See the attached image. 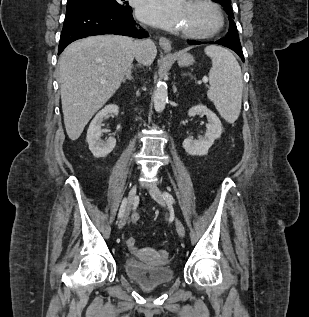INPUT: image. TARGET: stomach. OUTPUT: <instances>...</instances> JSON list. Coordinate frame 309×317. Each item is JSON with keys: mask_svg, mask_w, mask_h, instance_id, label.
Returning a JSON list of instances; mask_svg holds the SVG:
<instances>
[{"mask_svg": "<svg viewBox=\"0 0 309 317\" xmlns=\"http://www.w3.org/2000/svg\"><path fill=\"white\" fill-rule=\"evenodd\" d=\"M177 61L180 66H189L194 63V58L186 52H180L177 54Z\"/></svg>", "mask_w": 309, "mask_h": 317, "instance_id": "obj_1", "label": "stomach"}]
</instances>
